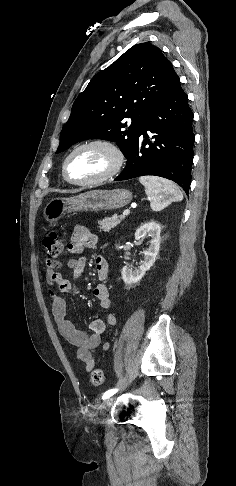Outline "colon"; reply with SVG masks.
I'll use <instances>...</instances> for the list:
<instances>
[{"label":"colon","instance_id":"1","mask_svg":"<svg viewBox=\"0 0 236 486\" xmlns=\"http://www.w3.org/2000/svg\"><path fill=\"white\" fill-rule=\"evenodd\" d=\"M43 245L50 260H56L64 250V242L56 232L45 235ZM91 382L94 386H101L104 382L102 369L96 368L91 372Z\"/></svg>","mask_w":236,"mask_h":486}]
</instances>
